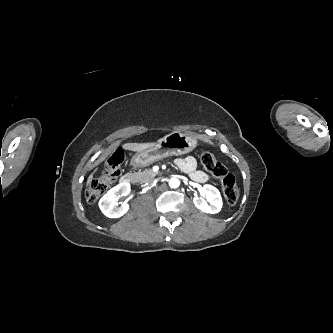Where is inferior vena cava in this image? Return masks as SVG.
I'll use <instances>...</instances> for the list:
<instances>
[{
  "label": "inferior vena cava",
  "instance_id": "obj_1",
  "mask_svg": "<svg viewBox=\"0 0 333 333\" xmlns=\"http://www.w3.org/2000/svg\"><path fill=\"white\" fill-rule=\"evenodd\" d=\"M154 184V181L150 182L149 185H153Z\"/></svg>",
  "mask_w": 333,
  "mask_h": 333
}]
</instances>
